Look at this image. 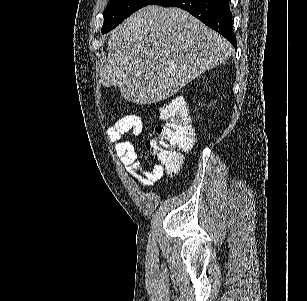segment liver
<instances>
[{"label":"liver","instance_id":"1","mask_svg":"<svg viewBox=\"0 0 307 301\" xmlns=\"http://www.w3.org/2000/svg\"><path fill=\"white\" fill-rule=\"evenodd\" d=\"M233 46L187 10L143 6L109 32L99 78L136 104L176 94L193 78L226 62Z\"/></svg>","mask_w":307,"mask_h":301}]
</instances>
